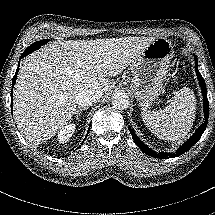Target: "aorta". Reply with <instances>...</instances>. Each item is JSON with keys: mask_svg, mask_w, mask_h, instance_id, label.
Segmentation results:
<instances>
[{"mask_svg": "<svg viewBox=\"0 0 215 215\" xmlns=\"http://www.w3.org/2000/svg\"><path fill=\"white\" fill-rule=\"evenodd\" d=\"M130 103L129 97L126 94L123 93H115L112 96V105L119 110H123L128 108Z\"/></svg>", "mask_w": 215, "mask_h": 215, "instance_id": "aorta-1", "label": "aorta"}]
</instances>
